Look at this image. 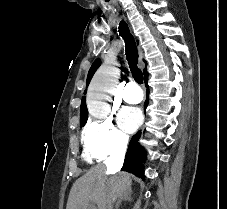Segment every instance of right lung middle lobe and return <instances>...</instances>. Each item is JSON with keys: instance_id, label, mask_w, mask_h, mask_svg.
Here are the masks:
<instances>
[{"instance_id": "obj_1", "label": "right lung middle lobe", "mask_w": 227, "mask_h": 209, "mask_svg": "<svg viewBox=\"0 0 227 209\" xmlns=\"http://www.w3.org/2000/svg\"><path fill=\"white\" fill-rule=\"evenodd\" d=\"M87 118L80 119V127H83L86 124Z\"/></svg>"}]
</instances>
